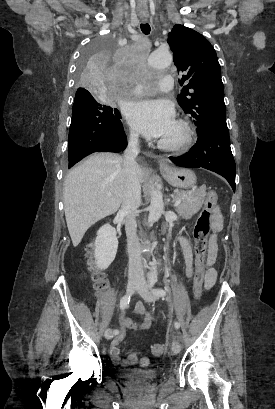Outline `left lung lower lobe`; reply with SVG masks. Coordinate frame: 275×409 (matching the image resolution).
<instances>
[{
    "mask_svg": "<svg viewBox=\"0 0 275 409\" xmlns=\"http://www.w3.org/2000/svg\"><path fill=\"white\" fill-rule=\"evenodd\" d=\"M170 160L182 167L205 168L214 171L229 182L235 191L236 166L230 148L228 128L215 126L205 129L190 151Z\"/></svg>",
    "mask_w": 275,
    "mask_h": 409,
    "instance_id": "obj_1",
    "label": "left lung lower lobe"
}]
</instances>
